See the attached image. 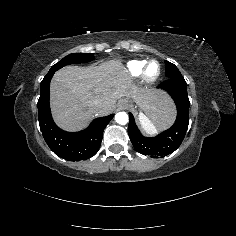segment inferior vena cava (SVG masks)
<instances>
[{"mask_svg": "<svg viewBox=\"0 0 236 236\" xmlns=\"http://www.w3.org/2000/svg\"><path fill=\"white\" fill-rule=\"evenodd\" d=\"M101 106H102V103L100 101H97V100L93 101L90 105V107L95 109V110L101 108Z\"/></svg>", "mask_w": 236, "mask_h": 236, "instance_id": "602c4592", "label": "inferior vena cava"}]
</instances>
